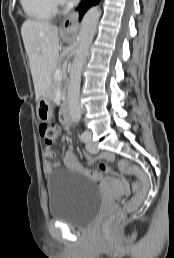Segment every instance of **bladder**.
<instances>
[{
	"instance_id": "31cf9c89",
	"label": "bladder",
	"mask_w": 174,
	"mask_h": 258,
	"mask_svg": "<svg viewBox=\"0 0 174 258\" xmlns=\"http://www.w3.org/2000/svg\"><path fill=\"white\" fill-rule=\"evenodd\" d=\"M47 193L49 216L70 226L86 227L102 207L99 187L80 171H53Z\"/></svg>"
}]
</instances>
